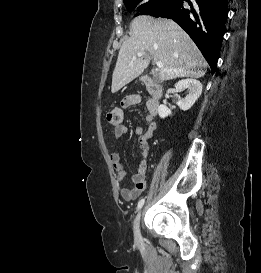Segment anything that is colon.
I'll return each instance as SVG.
<instances>
[{
  "mask_svg": "<svg viewBox=\"0 0 261 273\" xmlns=\"http://www.w3.org/2000/svg\"><path fill=\"white\" fill-rule=\"evenodd\" d=\"M107 122L111 125L118 126L122 124L123 112L119 108H114L107 113Z\"/></svg>",
  "mask_w": 261,
  "mask_h": 273,
  "instance_id": "1",
  "label": "colon"
}]
</instances>
